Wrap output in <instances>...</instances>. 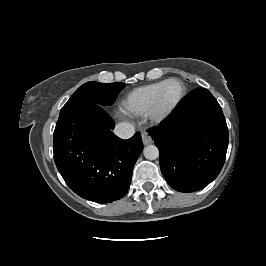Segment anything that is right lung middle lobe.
Instances as JSON below:
<instances>
[{
	"instance_id": "1",
	"label": "right lung middle lobe",
	"mask_w": 266,
	"mask_h": 266,
	"mask_svg": "<svg viewBox=\"0 0 266 266\" xmlns=\"http://www.w3.org/2000/svg\"><path fill=\"white\" fill-rule=\"evenodd\" d=\"M125 87L124 83L87 82L80 86L62 107L57 123L63 121L69 114L84 104L112 105L119 92Z\"/></svg>"
}]
</instances>
